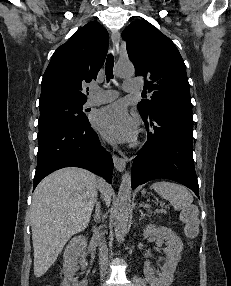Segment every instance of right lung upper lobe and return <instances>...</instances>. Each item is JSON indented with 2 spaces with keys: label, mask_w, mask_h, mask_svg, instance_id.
<instances>
[{
  "label": "right lung upper lobe",
  "mask_w": 231,
  "mask_h": 286,
  "mask_svg": "<svg viewBox=\"0 0 231 286\" xmlns=\"http://www.w3.org/2000/svg\"><path fill=\"white\" fill-rule=\"evenodd\" d=\"M108 41L107 30L98 22H90L58 47L43 75L39 107L61 101H86L82 85L96 79Z\"/></svg>",
  "instance_id": "1"
}]
</instances>
